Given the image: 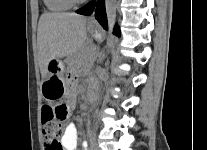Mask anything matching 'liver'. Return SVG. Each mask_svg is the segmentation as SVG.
Returning <instances> with one entry per match:
<instances>
[{
  "label": "liver",
  "mask_w": 207,
  "mask_h": 150,
  "mask_svg": "<svg viewBox=\"0 0 207 150\" xmlns=\"http://www.w3.org/2000/svg\"><path fill=\"white\" fill-rule=\"evenodd\" d=\"M87 19L73 13L41 15L37 44L42 78L48 76L51 60L69 57L82 50L87 40Z\"/></svg>",
  "instance_id": "obj_1"
}]
</instances>
